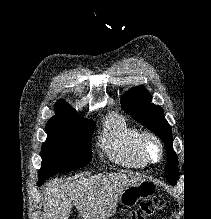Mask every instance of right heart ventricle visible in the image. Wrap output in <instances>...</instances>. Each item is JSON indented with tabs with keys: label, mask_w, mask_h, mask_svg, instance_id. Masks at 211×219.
<instances>
[{
	"label": "right heart ventricle",
	"mask_w": 211,
	"mask_h": 219,
	"mask_svg": "<svg viewBox=\"0 0 211 219\" xmlns=\"http://www.w3.org/2000/svg\"><path fill=\"white\" fill-rule=\"evenodd\" d=\"M141 132L126 117L113 113L105 120L100 144L110 160L125 168H143L148 163L138 151Z\"/></svg>",
	"instance_id": "e07e8e85"
}]
</instances>
